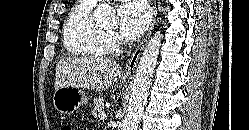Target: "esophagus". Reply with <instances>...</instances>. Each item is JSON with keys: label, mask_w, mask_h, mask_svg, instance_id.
Returning a JSON list of instances; mask_svg holds the SVG:
<instances>
[{"label": "esophagus", "mask_w": 249, "mask_h": 130, "mask_svg": "<svg viewBox=\"0 0 249 130\" xmlns=\"http://www.w3.org/2000/svg\"><path fill=\"white\" fill-rule=\"evenodd\" d=\"M151 6H152V22L150 24V27L147 31V34L145 35L144 39L142 42L137 46L135 51L132 53L130 59L128 60L124 70H123V75L125 76H130L134 73L135 68L137 66L138 60L141 56L142 51L145 48L146 43L148 42V39L151 36V33L153 31L155 22H156V17H157V8H156V0H150Z\"/></svg>", "instance_id": "esophagus-1"}]
</instances>
